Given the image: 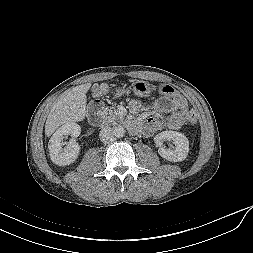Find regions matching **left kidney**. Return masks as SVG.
<instances>
[{
  "label": "left kidney",
  "instance_id": "1",
  "mask_svg": "<svg viewBox=\"0 0 253 253\" xmlns=\"http://www.w3.org/2000/svg\"><path fill=\"white\" fill-rule=\"evenodd\" d=\"M164 141H172L175 149H166L163 146ZM154 142L158 149L159 155L171 162H180L185 160L189 152V141L187 137L177 131H163L154 137Z\"/></svg>",
  "mask_w": 253,
  "mask_h": 253
}]
</instances>
